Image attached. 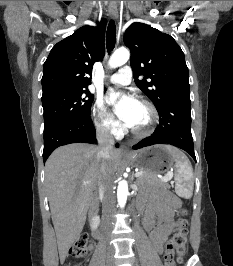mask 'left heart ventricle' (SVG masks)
<instances>
[{
	"label": "left heart ventricle",
	"mask_w": 233,
	"mask_h": 266,
	"mask_svg": "<svg viewBox=\"0 0 233 266\" xmlns=\"http://www.w3.org/2000/svg\"><path fill=\"white\" fill-rule=\"evenodd\" d=\"M150 121V113L148 109L139 103L136 115V121L133 129H143L145 128Z\"/></svg>",
	"instance_id": "1"
}]
</instances>
